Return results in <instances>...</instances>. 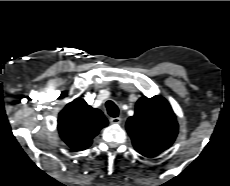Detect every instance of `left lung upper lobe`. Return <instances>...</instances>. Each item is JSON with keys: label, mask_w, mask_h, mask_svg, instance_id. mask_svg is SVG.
<instances>
[{"label": "left lung upper lobe", "mask_w": 230, "mask_h": 186, "mask_svg": "<svg viewBox=\"0 0 230 186\" xmlns=\"http://www.w3.org/2000/svg\"><path fill=\"white\" fill-rule=\"evenodd\" d=\"M126 129L140 154L155 157L174 142L178 123L171 106L161 96L142 97L136 103L134 116L128 118Z\"/></svg>", "instance_id": "1"}]
</instances>
